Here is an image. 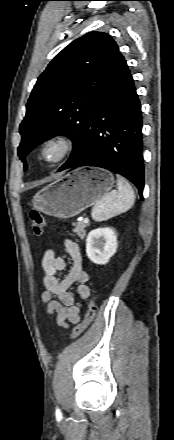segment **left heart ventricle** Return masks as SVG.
I'll return each mask as SVG.
<instances>
[{
    "mask_svg": "<svg viewBox=\"0 0 174 440\" xmlns=\"http://www.w3.org/2000/svg\"><path fill=\"white\" fill-rule=\"evenodd\" d=\"M56 155H57V149L54 148V147L49 148V149L47 150V152H46V157H47L49 160L54 159V158L56 157Z\"/></svg>",
    "mask_w": 174,
    "mask_h": 440,
    "instance_id": "1",
    "label": "left heart ventricle"
}]
</instances>
